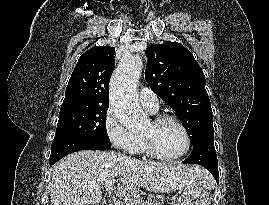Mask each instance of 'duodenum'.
I'll return each instance as SVG.
<instances>
[{
  "label": "duodenum",
  "instance_id": "duodenum-1",
  "mask_svg": "<svg viewBox=\"0 0 269 205\" xmlns=\"http://www.w3.org/2000/svg\"><path fill=\"white\" fill-rule=\"evenodd\" d=\"M102 205H112L111 203H103Z\"/></svg>",
  "mask_w": 269,
  "mask_h": 205
}]
</instances>
